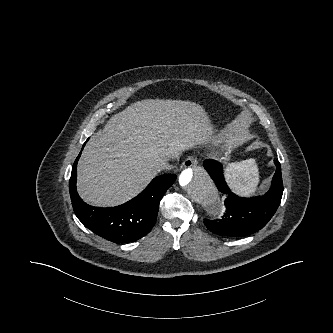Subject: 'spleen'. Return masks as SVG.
I'll use <instances>...</instances> for the list:
<instances>
[{"mask_svg":"<svg viewBox=\"0 0 333 333\" xmlns=\"http://www.w3.org/2000/svg\"><path fill=\"white\" fill-rule=\"evenodd\" d=\"M225 177L229 187L240 197L253 195L260 182L255 159L228 164L225 169Z\"/></svg>","mask_w":333,"mask_h":333,"instance_id":"spleen-1","label":"spleen"}]
</instances>
